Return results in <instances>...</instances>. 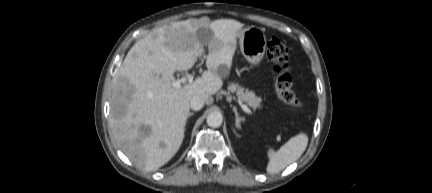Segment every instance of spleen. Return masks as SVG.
<instances>
[{
    "mask_svg": "<svg viewBox=\"0 0 432 193\" xmlns=\"http://www.w3.org/2000/svg\"><path fill=\"white\" fill-rule=\"evenodd\" d=\"M307 144L308 136L305 133H300L292 137L278 151L270 148L268 150L269 162L266 167L267 173H278L297 161L306 150Z\"/></svg>",
    "mask_w": 432,
    "mask_h": 193,
    "instance_id": "obj_1",
    "label": "spleen"
}]
</instances>
